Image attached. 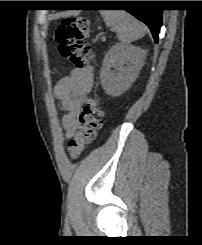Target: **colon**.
<instances>
[{"instance_id": "1", "label": "colon", "mask_w": 202, "mask_h": 245, "mask_svg": "<svg viewBox=\"0 0 202 245\" xmlns=\"http://www.w3.org/2000/svg\"><path fill=\"white\" fill-rule=\"evenodd\" d=\"M89 23L86 17L65 18L58 21L55 41L60 56L71 64L84 68L94 59L93 48L83 44L88 36ZM104 119V111L97 102L87 104L79 118V124L68 142L67 151L71 159L81 156L91 144L100 130Z\"/></svg>"}]
</instances>
